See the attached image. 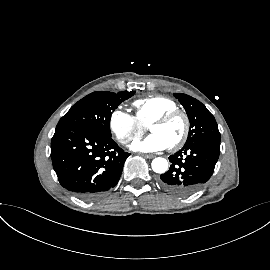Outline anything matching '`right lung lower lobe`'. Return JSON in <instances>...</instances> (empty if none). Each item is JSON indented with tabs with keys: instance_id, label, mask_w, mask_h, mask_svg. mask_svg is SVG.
<instances>
[{
	"instance_id": "obj_1",
	"label": "right lung lower lobe",
	"mask_w": 270,
	"mask_h": 270,
	"mask_svg": "<svg viewBox=\"0 0 270 270\" xmlns=\"http://www.w3.org/2000/svg\"><path fill=\"white\" fill-rule=\"evenodd\" d=\"M129 155L111 137L87 128H56L51 140V159L60 184L85 200L116 186Z\"/></svg>"
}]
</instances>
